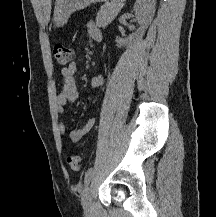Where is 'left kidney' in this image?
I'll list each match as a JSON object with an SVG mask.
<instances>
[{"label": "left kidney", "instance_id": "obj_1", "mask_svg": "<svg viewBox=\"0 0 216 217\" xmlns=\"http://www.w3.org/2000/svg\"><path fill=\"white\" fill-rule=\"evenodd\" d=\"M155 0H137L134 5L135 17L140 24V28L136 33L128 38L122 39L116 37L117 47L131 46L138 39H141L145 34L148 25L151 23L155 14Z\"/></svg>", "mask_w": 216, "mask_h": 217}]
</instances>
